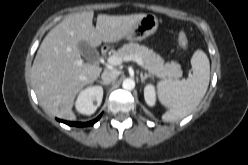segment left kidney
<instances>
[{"instance_id":"1","label":"left kidney","mask_w":248,"mask_h":165,"mask_svg":"<svg viewBox=\"0 0 248 165\" xmlns=\"http://www.w3.org/2000/svg\"><path fill=\"white\" fill-rule=\"evenodd\" d=\"M144 98L149 106H154L156 103L155 87L152 84H147L144 88Z\"/></svg>"}]
</instances>
